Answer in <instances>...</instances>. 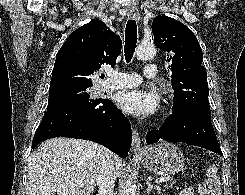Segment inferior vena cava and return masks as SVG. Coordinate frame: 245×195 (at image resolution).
<instances>
[{"label":"inferior vena cava","mask_w":245,"mask_h":195,"mask_svg":"<svg viewBox=\"0 0 245 195\" xmlns=\"http://www.w3.org/2000/svg\"><path fill=\"white\" fill-rule=\"evenodd\" d=\"M113 155L114 154L110 150H106L105 159L102 162L97 179V185L99 186L98 195H114L116 176L112 162Z\"/></svg>","instance_id":"inferior-vena-cava-1"}]
</instances>
